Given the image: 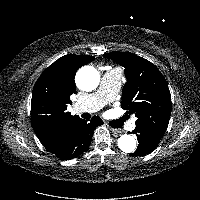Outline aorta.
I'll return each instance as SVG.
<instances>
[{
    "label": "aorta",
    "instance_id": "obj_1",
    "mask_svg": "<svg viewBox=\"0 0 200 200\" xmlns=\"http://www.w3.org/2000/svg\"><path fill=\"white\" fill-rule=\"evenodd\" d=\"M100 75L92 66H84L76 74V84L83 91H92L97 88ZM136 140L133 136L123 134L118 139V147L125 153H131L136 149Z\"/></svg>",
    "mask_w": 200,
    "mask_h": 200
}]
</instances>
